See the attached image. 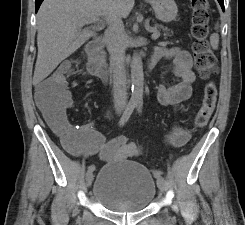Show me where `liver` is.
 <instances>
[{"mask_svg": "<svg viewBox=\"0 0 245 225\" xmlns=\"http://www.w3.org/2000/svg\"><path fill=\"white\" fill-rule=\"evenodd\" d=\"M134 0H44L37 13L38 56L34 82L39 83L79 49L103 25L85 28L84 21L104 17L127 18Z\"/></svg>", "mask_w": 245, "mask_h": 225, "instance_id": "obj_1", "label": "liver"}]
</instances>
